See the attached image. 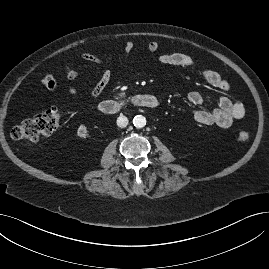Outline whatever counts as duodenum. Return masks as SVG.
I'll return each mask as SVG.
<instances>
[{"label":"duodenum","instance_id":"duodenum-1","mask_svg":"<svg viewBox=\"0 0 269 269\" xmlns=\"http://www.w3.org/2000/svg\"><path fill=\"white\" fill-rule=\"evenodd\" d=\"M155 109L159 102L151 95H137L125 100H104L99 104V111L105 115H114L125 109L127 106Z\"/></svg>","mask_w":269,"mask_h":269}]
</instances>
